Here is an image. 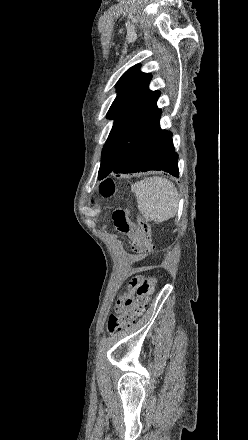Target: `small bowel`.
<instances>
[{
  "mask_svg": "<svg viewBox=\"0 0 248 440\" xmlns=\"http://www.w3.org/2000/svg\"><path fill=\"white\" fill-rule=\"evenodd\" d=\"M128 236L130 237L131 241H132V248L134 251L139 252L137 250V243L139 240V236H140V228L138 226L132 225L130 231L127 233ZM128 261L130 262H137L139 260H141V255L139 254H132L130 256L127 257ZM134 272H140L142 271L141 268H137L135 270H133ZM119 307H123V302H120Z\"/></svg>",
  "mask_w": 248,
  "mask_h": 440,
  "instance_id": "1",
  "label": "small bowel"
}]
</instances>
